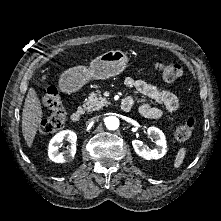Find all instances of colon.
I'll list each match as a JSON object with an SVG mask.
<instances>
[{
	"label": "colon",
	"mask_w": 221,
	"mask_h": 221,
	"mask_svg": "<svg viewBox=\"0 0 221 221\" xmlns=\"http://www.w3.org/2000/svg\"><path fill=\"white\" fill-rule=\"evenodd\" d=\"M156 70L167 82H174L182 75V68L176 63L158 62L155 65ZM44 104L51 111L49 116L40 123V131L44 134H53L58 132L64 125L67 112L64 109L60 96L54 87L46 89L43 97ZM196 126V120L189 117L182 125L176 126L172 130L175 140L185 141L190 138Z\"/></svg>",
	"instance_id": "5ec220e1"
}]
</instances>
